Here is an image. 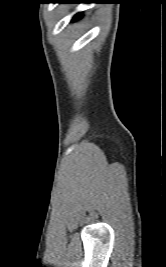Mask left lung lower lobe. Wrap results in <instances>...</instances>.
<instances>
[{"label": "left lung lower lobe", "instance_id": "obj_1", "mask_svg": "<svg viewBox=\"0 0 166 267\" xmlns=\"http://www.w3.org/2000/svg\"><path fill=\"white\" fill-rule=\"evenodd\" d=\"M61 3H73V2H67V1H64V2H61ZM74 3H79V2H74ZM75 19H79L80 18V14H77L74 16Z\"/></svg>", "mask_w": 166, "mask_h": 267}]
</instances>
